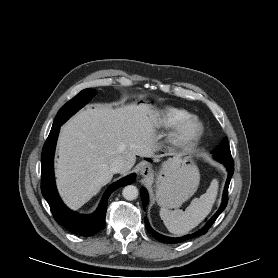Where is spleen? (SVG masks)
Here are the masks:
<instances>
[{
	"label": "spleen",
	"mask_w": 278,
	"mask_h": 278,
	"mask_svg": "<svg viewBox=\"0 0 278 278\" xmlns=\"http://www.w3.org/2000/svg\"><path fill=\"white\" fill-rule=\"evenodd\" d=\"M218 190V181L212 180L206 193L200 198H194L191 204L182 210H169L162 207L160 217L167 229L175 235H184L198 226L211 212L216 200Z\"/></svg>",
	"instance_id": "3e777b00"
}]
</instances>
